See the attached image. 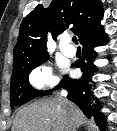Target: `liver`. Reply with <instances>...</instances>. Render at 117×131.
I'll list each match as a JSON object with an SVG mask.
<instances>
[{"label":"liver","mask_w":117,"mask_h":131,"mask_svg":"<svg viewBox=\"0 0 117 131\" xmlns=\"http://www.w3.org/2000/svg\"><path fill=\"white\" fill-rule=\"evenodd\" d=\"M81 110L60 98L43 99L21 108L12 131H68L84 121Z\"/></svg>","instance_id":"liver-1"}]
</instances>
